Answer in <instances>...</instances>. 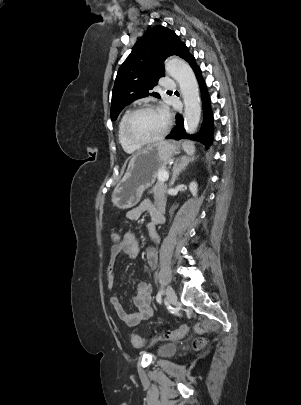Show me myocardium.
<instances>
[{"label": "myocardium", "mask_w": 301, "mask_h": 405, "mask_svg": "<svg viewBox=\"0 0 301 405\" xmlns=\"http://www.w3.org/2000/svg\"><path fill=\"white\" fill-rule=\"evenodd\" d=\"M149 110L158 111V109L153 105H142V106H139V107L133 109L132 111H130L125 117V120H124V123H123V135H124L125 139L130 144H132V145H134L136 147H143V146L150 145V144H153L155 142H158V141L162 140L170 130L171 120L166 115L165 116V118H166L165 126H164L163 130L157 136H155V137H153L151 139H147V140H139V139H136L135 137H133L131 135L130 129H129L131 120L138 113L143 112V111H149Z\"/></svg>", "instance_id": "f54148a6"}]
</instances>
